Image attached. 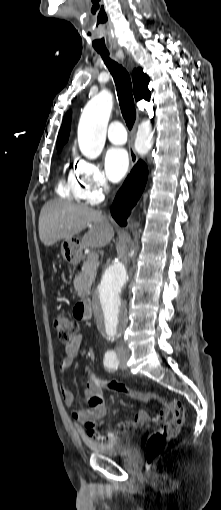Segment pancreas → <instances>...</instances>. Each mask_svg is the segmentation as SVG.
Here are the masks:
<instances>
[{
  "instance_id": "obj_1",
  "label": "pancreas",
  "mask_w": 221,
  "mask_h": 510,
  "mask_svg": "<svg viewBox=\"0 0 221 510\" xmlns=\"http://www.w3.org/2000/svg\"><path fill=\"white\" fill-rule=\"evenodd\" d=\"M97 266V261L92 263L88 259L84 261L82 271L74 279V287L78 296L87 297L89 295L91 285L95 280Z\"/></svg>"
}]
</instances>
